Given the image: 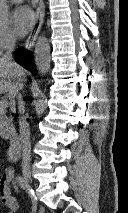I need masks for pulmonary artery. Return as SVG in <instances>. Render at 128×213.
Here are the masks:
<instances>
[{"mask_svg":"<svg viewBox=\"0 0 128 213\" xmlns=\"http://www.w3.org/2000/svg\"><path fill=\"white\" fill-rule=\"evenodd\" d=\"M12 2H15V3H20L22 2L23 0H11Z\"/></svg>","mask_w":128,"mask_h":213,"instance_id":"1","label":"pulmonary artery"}]
</instances>
